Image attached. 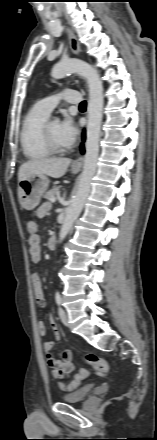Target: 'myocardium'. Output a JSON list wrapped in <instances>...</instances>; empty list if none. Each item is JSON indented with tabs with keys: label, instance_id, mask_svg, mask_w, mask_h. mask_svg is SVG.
Returning <instances> with one entry per match:
<instances>
[{
	"label": "myocardium",
	"instance_id": "obj_1",
	"mask_svg": "<svg viewBox=\"0 0 157 440\" xmlns=\"http://www.w3.org/2000/svg\"><path fill=\"white\" fill-rule=\"evenodd\" d=\"M49 124H50V122H46L42 128V136H43V140H44L46 146L48 147V149L50 150L51 153H64V152H66L69 149L68 146L58 145L51 137V134L49 132Z\"/></svg>",
	"mask_w": 157,
	"mask_h": 440
}]
</instances>
